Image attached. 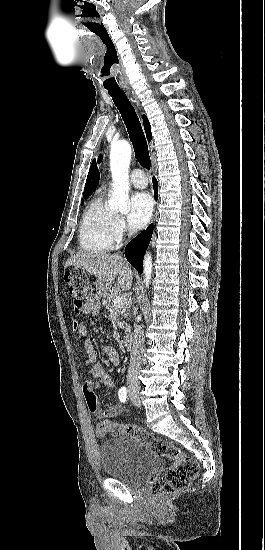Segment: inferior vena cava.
I'll use <instances>...</instances> for the list:
<instances>
[{
    "instance_id": "602c4592",
    "label": "inferior vena cava",
    "mask_w": 265,
    "mask_h": 550,
    "mask_svg": "<svg viewBox=\"0 0 265 550\" xmlns=\"http://www.w3.org/2000/svg\"><path fill=\"white\" fill-rule=\"evenodd\" d=\"M133 345L131 351V359L128 370V382L129 383H138V374L140 372L141 366L143 364V354H144V331L142 327L138 324L134 326V335H133Z\"/></svg>"
}]
</instances>
